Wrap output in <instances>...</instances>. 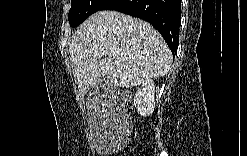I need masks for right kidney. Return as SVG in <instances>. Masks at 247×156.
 <instances>
[{"label":"right kidney","mask_w":247,"mask_h":156,"mask_svg":"<svg viewBox=\"0 0 247 156\" xmlns=\"http://www.w3.org/2000/svg\"><path fill=\"white\" fill-rule=\"evenodd\" d=\"M155 85L152 79L145 80L134 96V106L138 113L147 117L150 116L155 108Z\"/></svg>","instance_id":"right-kidney-1"}]
</instances>
